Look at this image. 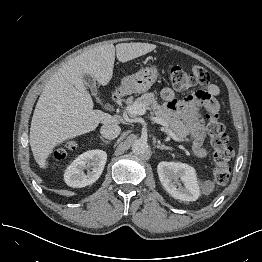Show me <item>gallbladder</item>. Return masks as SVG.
<instances>
[{
  "label": "gallbladder",
  "mask_w": 262,
  "mask_h": 262,
  "mask_svg": "<svg viewBox=\"0 0 262 262\" xmlns=\"http://www.w3.org/2000/svg\"><path fill=\"white\" fill-rule=\"evenodd\" d=\"M82 78H83L84 83L91 88L92 94L97 95L96 80L93 77V75L83 74Z\"/></svg>",
  "instance_id": "1"
}]
</instances>
